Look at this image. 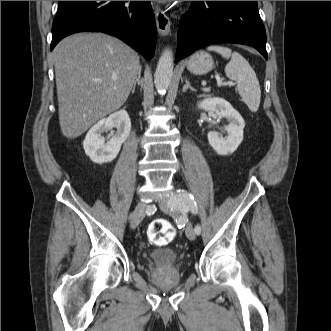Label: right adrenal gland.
<instances>
[{
  "mask_svg": "<svg viewBox=\"0 0 331 331\" xmlns=\"http://www.w3.org/2000/svg\"><path fill=\"white\" fill-rule=\"evenodd\" d=\"M140 78H141V73L138 74V76H137V78H136V80H135V82H134V85H133V87H132V94H134V92H135L136 83H137L138 85L140 84Z\"/></svg>",
  "mask_w": 331,
  "mask_h": 331,
  "instance_id": "obj_1",
  "label": "right adrenal gland"
}]
</instances>
